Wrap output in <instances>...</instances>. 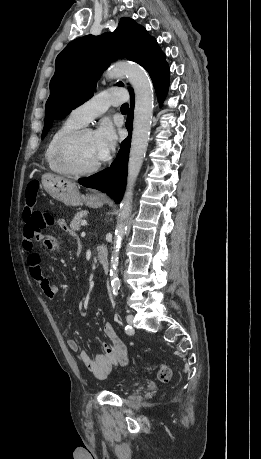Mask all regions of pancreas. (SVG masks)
<instances>
[{
  "instance_id": "pancreas-1",
  "label": "pancreas",
  "mask_w": 261,
  "mask_h": 459,
  "mask_svg": "<svg viewBox=\"0 0 261 459\" xmlns=\"http://www.w3.org/2000/svg\"><path fill=\"white\" fill-rule=\"evenodd\" d=\"M87 214H88V212H87L86 210L78 212V213L74 216L73 220L71 221V223H70V228H71L73 231H78V230H80L82 218L86 217Z\"/></svg>"
}]
</instances>
